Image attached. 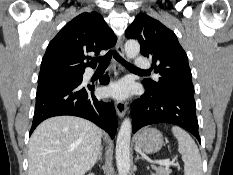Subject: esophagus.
Returning a JSON list of instances; mask_svg holds the SVG:
<instances>
[{"label": "esophagus", "instance_id": "34e87169", "mask_svg": "<svg viewBox=\"0 0 233 175\" xmlns=\"http://www.w3.org/2000/svg\"><path fill=\"white\" fill-rule=\"evenodd\" d=\"M116 51L120 56L124 57L123 41L121 38H118V41L116 43ZM113 66H114V75L115 77H117L121 73L122 67L116 60L113 61ZM115 109L118 116L122 118L126 113L127 106L123 101H116Z\"/></svg>", "mask_w": 233, "mask_h": 175}]
</instances>
